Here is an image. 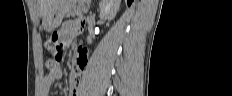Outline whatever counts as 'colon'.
<instances>
[{
  "label": "colon",
  "instance_id": "5ec220e1",
  "mask_svg": "<svg viewBox=\"0 0 232 96\" xmlns=\"http://www.w3.org/2000/svg\"><path fill=\"white\" fill-rule=\"evenodd\" d=\"M47 47L56 53L55 60L49 62V69L52 72L57 71L60 68L61 53L60 50L63 47L58 33H53L47 40Z\"/></svg>",
  "mask_w": 232,
  "mask_h": 96
}]
</instances>
